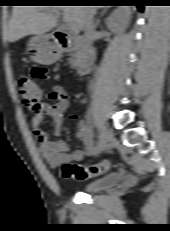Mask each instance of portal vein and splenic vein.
I'll use <instances>...</instances> for the list:
<instances>
[{
	"label": "portal vein and splenic vein",
	"mask_w": 170,
	"mask_h": 231,
	"mask_svg": "<svg viewBox=\"0 0 170 231\" xmlns=\"http://www.w3.org/2000/svg\"><path fill=\"white\" fill-rule=\"evenodd\" d=\"M67 25H68V27H69V29H70L71 32L76 33L78 31V28H77L76 24H74V23H67Z\"/></svg>",
	"instance_id": "portal-vein-and-splenic-vein-1"
}]
</instances>
